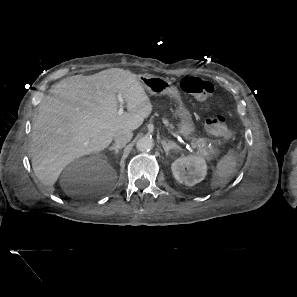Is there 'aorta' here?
Here are the masks:
<instances>
[{
	"label": "aorta",
	"mask_w": 297,
	"mask_h": 297,
	"mask_svg": "<svg viewBox=\"0 0 297 297\" xmlns=\"http://www.w3.org/2000/svg\"><path fill=\"white\" fill-rule=\"evenodd\" d=\"M154 146L153 139L149 136H144L136 143V148L139 151H150Z\"/></svg>",
	"instance_id": "1"
}]
</instances>
